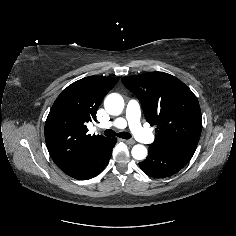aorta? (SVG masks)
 <instances>
[{"label": "aorta", "mask_w": 236, "mask_h": 236, "mask_svg": "<svg viewBox=\"0 0 236 236\" xmlns=\"http://www.w3.org/2000/svg\"><path fill=\"white\" fill-rule=\"evenodd\" d=\"M105 110L110 115H119L124 109V99L120 94L111 93L104 100ZM131 154L136 160H143L147 156V149L145 146L137 144L133 146Z\"/></svg>", "instance_id": "762f6f07"}]
</instances>
